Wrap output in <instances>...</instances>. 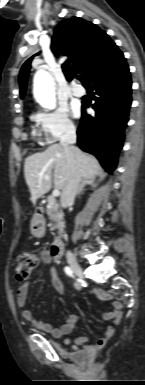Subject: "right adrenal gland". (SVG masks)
<instances>
[{
  "instance_id": "right-adrenal-gland-1",
  "label": "right adrenal gland",
  "mask_w": 145,
  "mask_h": 385,
  "mask_svg": "<svg viewBox=\"0 0 145 385\" xmlns=\"http://www.w3.org/2000/svg\"><path fill=\"white\" fill-rule=\"evenodd\" d=\"M87 185H94V180L93 179H83L80 186H79V189L77 191V195L82 193V191L84 190V187Z\"/></svg>"
}]
</instances>
